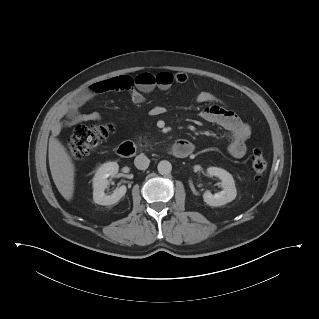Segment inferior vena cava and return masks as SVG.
Listing matches in <instances>:
<instances>
[{"mask_svg": "<svg viewBox=\"0 0 319 319\" xmlns=\"http://www.w3.org/2000/svg\"><path fill=\"white\" fill-rule=\"evenodd\" d=\"M149 163H150V160L144 154L138 155L134 160V164L136 168L140 170H146L149 166Z\"/></svg>", "mask_w": 319, "mask_h": 319, "instance_id": "602c4592", "label": "inferior vena cava"}]
</instances>
